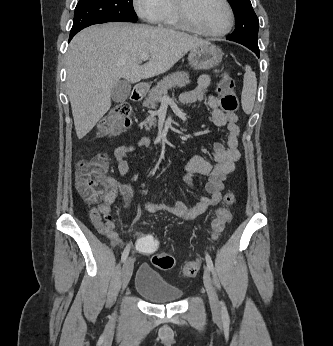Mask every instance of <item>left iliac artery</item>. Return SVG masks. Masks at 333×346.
<instances>
[{"mask_svg":"<svg viewBox=\"0 0 333 346\" xmlns=\"http://www.w3.org/2000/svg\"><path fill=\"white\" fill-rule=\"evenodd\" d=\"M205 259H206V264H207L208 269L211 272H213L214 271V265H213V262H212L210 255L208 253H206ZM221 305H222L223 318L227 320L229 317H228V312H227L226 306H225L224 302H221Z\"/></svg>","mask_w":333,"mask_h":346,"instance_id":"44dca946","label":"left iliac artery"}]
</instances>
